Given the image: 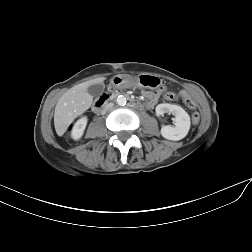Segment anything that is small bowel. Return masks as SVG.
<instances>
[{
    "label": "small bowel",
    "instance_id": "obj_1",
    "mask_svg": "<svg viewBox=\"0 0 252 252\" xmlns=\"http://www.w3.org/2000/svg\"><path fill=\"white\" fill-rule=\"evenodd\" d=\"M144 94H145L146 98L148 99V102L146 104L147 107L148 108L153 107L157 102V99L159 97V92H145ZM181 95H182V97L187 96V94L185 92H182Z\"/></svg>",
    "mask_w": 252,
    "mask_h": 252
}]
</instances>
